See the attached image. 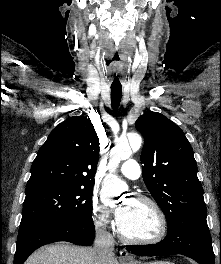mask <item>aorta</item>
Wrapping results in <instances>:
<instances>
[{
	"label": "aorta",
	"instance_id": "obj_1",
	"mask_svg": "<svg viewBox=\"0 0 221 264\" xmlns=\"http://www.w3.org/2000/svg\"><path fill=\"white\" fill-rule=\"evenodd\" d=\"M142 144L140 135L134 133L129 139H120L114 147L109 160L110 173L105 177L102 185V195L104 197H116L122 193L127 185L116 175L115 170L121 160H126L132 155V150L137 151Z\"/></svg>",
	"mask_w": 221,
	"mask_h": 264
}]
</instances>
